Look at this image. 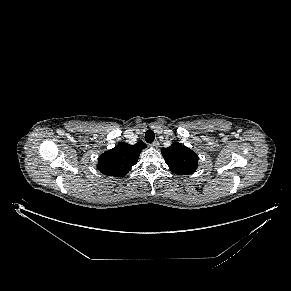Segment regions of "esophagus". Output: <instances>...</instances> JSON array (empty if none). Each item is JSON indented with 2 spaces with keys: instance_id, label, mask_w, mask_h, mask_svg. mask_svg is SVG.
<instances>
[{
  "instance_id": "obj_1",
  "label": "esophagus",
  "mask_w": 291,
  "mask_h": 291,
  "mask_svg": "<svg viewBox=\"0 0 291 291\" xmlns=\"http://www.w3.org/2000/svg\"><path fill=\"white\" fill-rule=\"evenodd\" d=\"M150 147H153V148H158L159 147V142L158 141H154L150 144Z\"/></svg>"
}]
</instances>
